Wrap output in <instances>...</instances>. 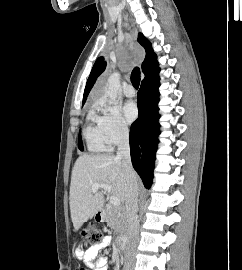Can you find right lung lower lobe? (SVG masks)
<instances>
[{
  "mask_svg": "<svg viewBox=\"0 0 242 270\" xmlns=\"http://www.w3.org/2000/svg\"><path fill=\"white\" fill-rule=\"evenodd\" d=\"M159 71V68L155 69L141 83L137 95L139 116L131 125L129 136L132 164L146 188H149L153 179L157 137L160 133L157 107Z\"/></svg>",
  "mask_w": 242,
  "mask_h": 270,
  "instance_id": "right-lung-lower-lobe-1",
  "label": "right lung lower lobe"
}]
</instances>
